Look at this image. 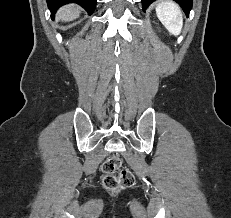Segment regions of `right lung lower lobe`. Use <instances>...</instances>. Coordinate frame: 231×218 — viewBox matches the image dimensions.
Wrapping results in <instances>:
<instances>
[{"label":"right lung lower lobe","mask_w":231,"mask_h":218,"mask_svg":"<svg viewBox=\"0 0 231 218\" xmlns=\"http://www.w3.org/2000/svg\"><path fill=\"white\" fill-rule=\"evenodd\" d=\"M97 0H47L48 7L51 11L52 17L59 7L67 3H77L81 5L89 15H91L95 9Z\"/></svg>","instance_id":"98d812e1"}]
</instances>
